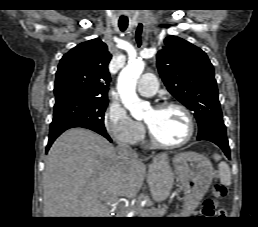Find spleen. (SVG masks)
<instances>
[{
  "label": "spleen",
  "instance_id": "spleen-1",
  "mask_svg": "<svg viewBox=\"0 0 258 227\" xmlns=\"http://www.w3.org/2000/svg\"><path fill=\"white\" fill-rule=\"evenodd\" d=\"M214 159L219 161L221 157L218 154H214ZM218 169L221 183L226 186L231 185V172L228 164L226 162H220Z\"/></svg>",
  "mask_w": 258,
  "mask_h": 227
}]
</instances>
